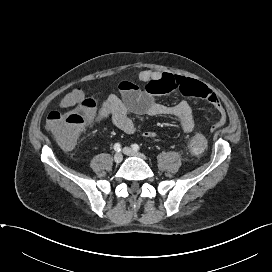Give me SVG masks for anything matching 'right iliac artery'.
I'll use <instances>...</instances> for the list:
<instances>
[{"label": "right iliac artery", "instance_id": "82829eb1", "mask_svg": "<svg viewBox=\"0 0 272 272\" xmlns=\"http://www.w3.org/2000/svg\"><path fill=\"white\" fill-rule=\"evenodd\" d=\"M114 150H115L116 152H120V151H121V145H120L119 143H116V144L114 145Z\"/></svg>", "mask_w": 272, "mask_h": 272}]
</instances>
